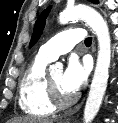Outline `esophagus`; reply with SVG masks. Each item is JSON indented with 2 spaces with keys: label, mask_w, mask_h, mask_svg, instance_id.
<instances>
[{
  "label": "esophagus",
  "mask_w": 118,
  "mask_h": 123,
  "mask_svg": "<svg viewBox=\"0 0 118 123\" xmlns=\"http://www.w3.org/2000/svg\"><path fill=\"white\" fill-rule=\"evenodd\" d=\"M93 52H95V46H93Z\"/></svg>",
  "instance_id": "esophagus-1"
}]
</instances>
